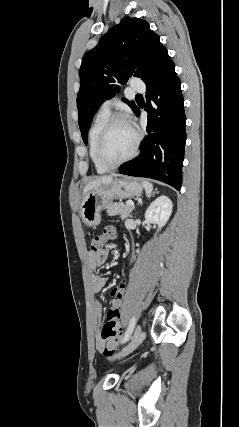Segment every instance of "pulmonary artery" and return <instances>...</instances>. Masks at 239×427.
Masks as SVG:
<instances>
[{
  "label": "pulmonary artery",
  "instance_id": "pulmonary-artery-1",
  "mask_svg": "<svg viewBox=\"0 0 239 427\" xmlns=\"http://www.w3.org/2000/svg\"><path fill=\"white\" fill-rule=\"evenodd\" d=\"M131 88L136 92H144L146 90L145 84L141 81H134L131 84ZM111 103V100H106L105 102H103V104L101 105V110L110 111Z\"/></svg>",
  "mask_w": 239,
  "mask_h": 427
}]
</instances>
